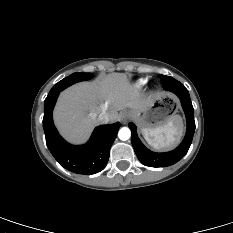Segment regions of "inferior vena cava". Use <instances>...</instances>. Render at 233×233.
<instances>
[{"instance_id": "inferior-vena-cava-1", "label": "inferior vena cava", "mask_w": 233, "mask_h": 233, "mask_svg": "<svg viewBox=\"0 0 233 233\" xmlns=\"http://www.w3.org/2000/svg\"><path fill=\"white\" fill-rule=\"evenodd\" d=\"M98 121L100 123H108L110 121V116L107 113H100L98 116Z\"/></svg>"}]
</instances>
